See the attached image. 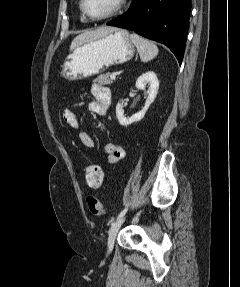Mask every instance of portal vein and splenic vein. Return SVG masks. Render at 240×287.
<instances>
[{"label":"portal vein and splenic vein","instance_id":"portal-vein-and-splenic-vein-1","mask_svg":"<svg viewBox=\"0 0 240 287\" xmlns=\"http://www.w3.org/2000/svg\"><path fill=\"white\" fill-rule=\"evenodd\" d=\"M115 77H116V74H115V73H113V74L110 75V78H111V79H115Z\"/></svg>","mask_w":240,"mask_h":287}]
</instances>
